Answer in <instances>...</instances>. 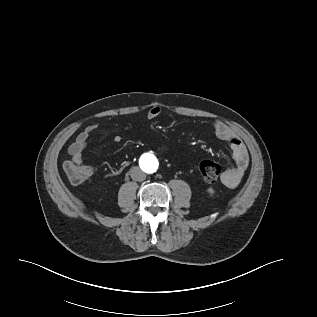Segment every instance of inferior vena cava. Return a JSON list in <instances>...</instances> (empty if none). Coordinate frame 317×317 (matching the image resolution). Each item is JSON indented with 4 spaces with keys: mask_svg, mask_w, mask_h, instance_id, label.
I'll list each match as a JSON object with an SVG mask.
<instances>
[{
    "mask_svg": "<svg viewBox=\"0 0 317 317\" xmlns=\"http://www.w3.org/2000/svg\"><path fill=\"white\" fill-rule=\"evenodd\" d=\"M131 178L135 181L141 182L146 179V174L139 168V167H133L130 170Z\"/></svg>",
    "mask_w": 317,
    "mask_h": 317,
    "instance_id": "obj_1",
    "label": "inferior vena cava"
}]
</instances>
